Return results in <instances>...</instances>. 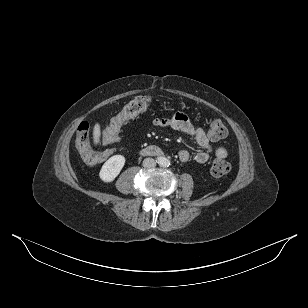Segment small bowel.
I'll use <instances>...</instances> for the list:
<instances>
[{
  "label": "small bowel",
  "instance_id": "obj_1",
  "mask_svg": "<svg viewBox=\"0 0 308 308\" xmlns=\"http://www.w3.org/2000/svg\"><path fill=\"white\" fill-rule=\"evenodd\" d=\"M153 124L160 127H170L192 137L195 144L202 149L195 154V161L201 164L207 162L208 153L213 150L212 145L205 131L201 127L192 124L186 114L178 112L171 117L158 116L153 120ZM214 152L218 158H225L228 154L224 146L217 147ZM178 158L181 162H187L190 159V153L185 149L180 150Z\"/></svg>",
  "mask_w": 308,
  "mask_h": 308
}]
</instances>
